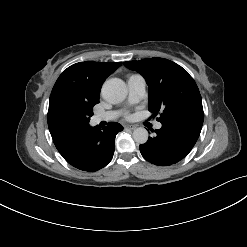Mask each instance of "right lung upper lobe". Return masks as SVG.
I'll return each instance as SVG.
<instances>
[{
	"mask_svg": "<svg viewBox=\"0 0 247 247\" xmlns=\"http://www.w3.org/2000/svg\"><path fill=\"white\" fill-rule=\"evenodd\" d=\"M121 62H79L65 69L57 79L49 100L48 114L63 99L99 103L100 90L105 79ZM55 142L64 136L52 134Z\"/></svg>",
	"mask_w": 247,
	"mask_h": 247,
	"instance_id": "1",
	"label": "right lung upper lobe"
}]
</instances>
